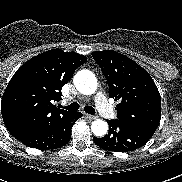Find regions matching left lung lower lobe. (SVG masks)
<instances>
[{
  "instance_id": "1",
  "label": "left lung lower lobe",
  "mask_w": 182,
  "mask_h": 182,
  "mask_svg": "<svg viewBox=\"0 0 182 182\" xmlns=\"http://www.w3.org/2000/svg\"><path fill=\"white\" fill-rule=\"evenodd\" d=\"M109 132L102 138H93L102 149L116 152H129L146 144L157 128L145 124L109 120Z\"/></svg>"
}]
</instances>
